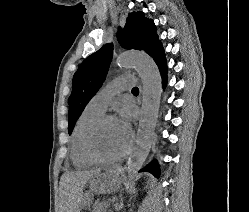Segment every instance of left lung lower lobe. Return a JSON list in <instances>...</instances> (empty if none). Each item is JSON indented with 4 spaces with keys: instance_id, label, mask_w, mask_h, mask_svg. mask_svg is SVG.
Returning <instances> with one entry per match:
<instances>
[{
    "instance_id": "left-lung-lower-lobe-1",
    "label": "left lung lower lobe",
    "mask_w": 249,
    "mask_h": 212,
    "mask_svg": "<svg viewBox=\"0 0 249 212\" xmlns=\"http://www.w3.org/2000/svg\"><path fill=\"white\" fill-rule=\"evenodd\" d=\"M153 59L156 62L160 70V73L163 79V86H165L167 83V65H166L164 50H161ZM140 171L150 172L156 177H159L160 175L159 165L156 161L150 163L149 165H147L145 168L141 169Z\"/></svg>"
}]
</instances>
